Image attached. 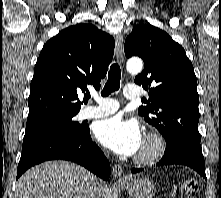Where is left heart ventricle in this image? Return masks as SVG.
<instances>
[{"label": "left heart ventricle", "instance_id": "left-heart-ventricle-1", "mask_svg": "<svg viewBox=\"0 0 221 198\" xmlns=\"http://www.w3.org/2000/svg\"><path fill=\"white\" fill-rule=\"evenodd\" d=\"M146 149H147V144L144 143V142H142L141 147L139 148V150H138L137 153L143 152V151H145Z\"/></svg>", "mask_w": 221, "mask_h": 198}]
</instances>
